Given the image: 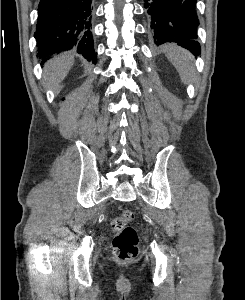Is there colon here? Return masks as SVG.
Segmentation results:
<instances>
[{"instance_id":"colon-1","label":"colon","mask_w":245,"mask_h":300,"mask_svg":"<svg viewBox=\"0 0 245 300\" xmlns=\"http://www.w3.org/2000/svg\"><path fill=\"white\" fill-rule=\"evenodd\" d=\"M133 219L134 213L125 210L111 222V229L114 232L113 254L121 261L132 260L138 255V234L130 225Z\"/></svg>"}]
</instances>
